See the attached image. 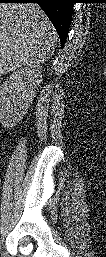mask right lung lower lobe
I'll list each match as a JSON object with an SVG mask.
<instances>
[{"mask_svg": "<svg viewBox=\"0 0 106 257\" xmlns=\"http://www.w3.org/2000/svg\"><path fill=\"white\" fill-rule=\"evenodd\" d=\"M76 0H0L1 3H37L54 25L61 42V48L67 39L73 3Z\"/></svg>", "mask_w": 106, "mask_h": 257, "instance_id": "1", "label": "right lung lower lobe"}]
</instances>
